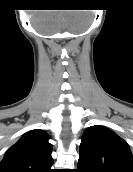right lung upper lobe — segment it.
<instances>
[{"label": "right lung upper lobe", "instance_id": "1", "mask_svg": "<svg viewBox=\"0 0 133 172\" xmlns=\"http://www.w3.org/2000/svg\"><path fill=\"white\" fill-rule=\"evenodd\" d=\"M48 134L39 129L25 133L0 162V172H53Z\"/></svg>", "mask_w": 133, "mask_h": 172}]
</instances>
